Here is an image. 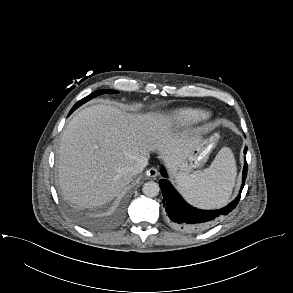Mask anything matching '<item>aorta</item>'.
I'll list each match as a JSON object with an SVG mask.
<instances>
[{"instance_id": "1", "label": "aorta", "mask_w": 293, "mask_h": 293, "mask_svg": "<svg viewBox=\"0 0 293 293\" xmlns=\"http://www.w3.org/2000/svg\"><path fill=\"white\" fill-rule=\"evenodd\" d=\"M142 191L148 197H155L159 194L160 187L156 182L148 181L144 183Z\"/></svg>"}]
</instances>
